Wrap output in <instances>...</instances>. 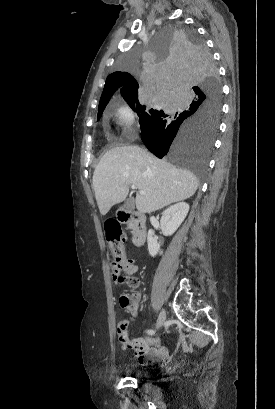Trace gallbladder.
<instances>
[{
    "label": "gallbladder",
    "mask_w": 275,
    "mask_h": 409,
    "mask_svg": "<svg viewBox=\"0 0 275 409\" xmlns=\"http://www.w3.org/2000/svg\"><path fill=\"white\" fill-rule=\"evenodd\" d=\"M133 198H127V200H125L123 207H121V209H123V211H133L134 209V205H133Z\"/></svg>",
    "instance_id": "1"
}]
</instances>
